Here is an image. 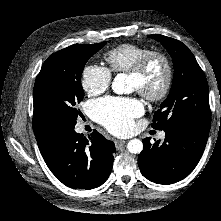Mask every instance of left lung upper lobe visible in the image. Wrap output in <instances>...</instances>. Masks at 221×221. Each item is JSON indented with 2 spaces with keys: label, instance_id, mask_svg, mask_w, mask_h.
<instances>
[{
  "label": "left lung upper lobe",
  "instance_id": "left-lung-upper-lobe-1",
  "mask_svg": "<svg viewBox=\"0 0 221 221\" xmlns=\"http://www.w3.org/2000/svg\"><path fill=\"white\" fill-rule=\"evenodd\" d=\"M149 37L159 41L167 49L174 65L170 93L155 112L152 127L166 130L177 125H192L210 130L208 84L194 55L176 39L159 34Z\"/></svg>",
  "mask_w": 221,
  "mask_h": 221
}]
</instances>
